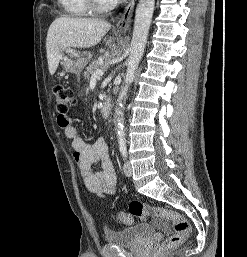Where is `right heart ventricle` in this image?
Wrapping results in <instances>:
<instances>
[{"label": "right heart ventricle", "instance_id": "1", "mask_svg": "<svg viewBox=\"0 0 247 257\" xmlns=\"http://www.w3.org/2000/svg\"><path fill=\"white\" fill-rule=\"evenodd\" d=\"M62 10L71 17H84L91 13L86 0H57Z\"/></svg>", "mask_w": 247, "mask_h": 257}]
</instances>
